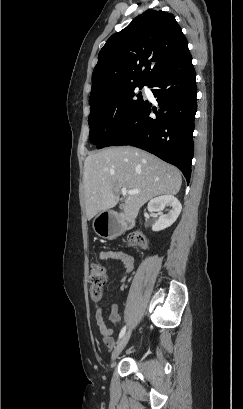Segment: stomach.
<instances>
[{"mask_svg": "<svg viewBox=\"0 0 243 409\" xmlns=\"http://www.w3.org/2000/svg\"><path fill=\"white\" fill-rule=\"evenodd\" d=\"M104 212L99 213L93 221V229L94 231L103 238H110L113 236V233L108 228V224H103L100 221V217Z\"/></svg>", "mask_w": 243, "mask_h": 409, "instance_id": "0dacf381", "label": "stomach"}]
</instances>
